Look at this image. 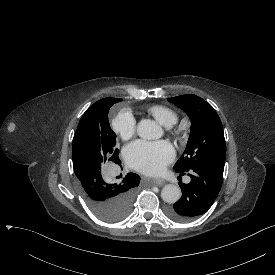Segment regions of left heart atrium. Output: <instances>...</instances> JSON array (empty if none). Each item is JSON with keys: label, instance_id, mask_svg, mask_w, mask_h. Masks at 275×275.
Returning a JSON list of instances; mask_svg holds the SVG:
<instances>
[{"label": "left heart atrium", "instance_id": "39dd6f15", "mask_svg": "<svg viewBox=\"0 0 275 275\" xmlns=\"http://www.w3.org/2000/svg\"><path fill=\"white\" fill-rule=\"evenodd\" d=\"M174 151L166 141H136L125 149V158L134 169L157 174L173 159Z\"/></svg>", "mask_w": 275, "mask_h": 275}]
</instances>
